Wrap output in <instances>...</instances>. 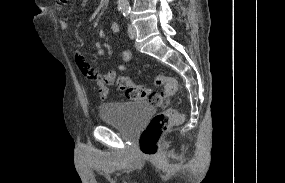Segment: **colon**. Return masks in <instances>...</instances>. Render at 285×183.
Returning a JSON list of instances; mask_svg holds the SVG:
<instances>
[{"instance_id": "5ec220e1", "label": "colon", "mask_w": 285, "mask_h": 183, "mask_svg": "<svg viewBox=\"0 0 285 183\" xmlns=\"http://www.w3.org/2000/svg\"><path fill=\"white\" fill-rule=\"evenodd\" d=\"M78 66L87 78H95L94 73L88 65L82 63ZM121 69L124 70L125 68L121 67ZM155 84L157 86H164V91L161 93H150L148 88L133 83L127 75H122L117 80L119 89L125 93L127 98L131 100L149 99L157 105L165 106L168 99L176 93L177 82L163 73H159L155 77ZM183 120V113L175 109H167L157 113L140 136L139 146L142 153L154 155L157 152L158 143L162 135L171 127L181 124Z\"/></svg>"}]
</instances>
